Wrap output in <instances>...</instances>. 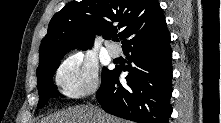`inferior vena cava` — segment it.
Wrapping results in <instances>:
<instances>
[{"instance_id":"obj_1","label":"inferior vena cava","mask_w":221,"mask_h":123,"mask_svg":"<svg viewBox=\"0 0 221 123\" xmlns=\"http://www.w3.org/2000/svg\"><path fill=\"white\" fill-rule=\"evenodd\" d=\"M95 113H98L99 109L97 107L94 108Z\"/></svg>"}]
</instances>
